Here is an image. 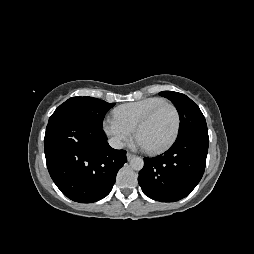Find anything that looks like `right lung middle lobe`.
I'll list each match as a JSON object with an SVG mask.
<instances>
[{"instance_id": "obj_1", "label": "right lung middle lobe", "mask_w": 254, "mask_h": 254, "mask_svg": "<svg viewBox=\"0 0 254 254\" xmlns=\"http://www.w3.org/2000/svg\"><path fill=\"white\" fill-rule=\"evenodd\" d=\"M114 105L93 97H72L61 104L50 119L73 116L102 127L105 114Z\"/></svg>"}]
</instances>
